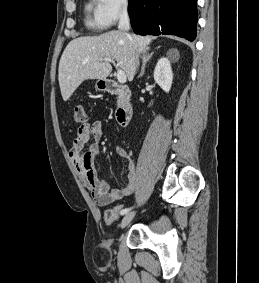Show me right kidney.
I'll return each mask as SVG.
<instances>
[{
	"mask_svg": "<svg viewBox=\"0 0 259 283\" xmlns=\"http://www.w3.org/2000/svg\"><path fill=\"white\" fill-rule=\"evenodd\" d=\"M155 82L168 93L171 89L173 73L168 58H161L154 69Z\"/></svg>",
	"mask_w": 259,
	"mask_h": 283,
	"instance_id": "right-kidney-1",
	"label": "right kidney"
}]
</instances>
